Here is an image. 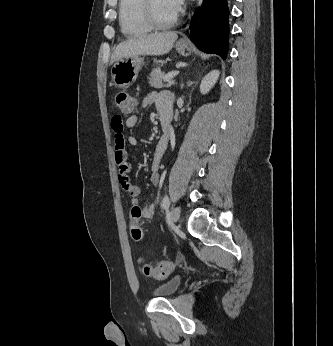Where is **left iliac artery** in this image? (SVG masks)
I'll list each match as a JSON object with an SVG mask.
<instances>
[{
  "label": "left iliac artery",
  "instance_id": "44dca946",
  "mask_svg": "<svg viewBox=\"0 0 333 346\" xmlns=\"http://www.w3.org/2000/svg\"><path fill=\"white\" fill-rule=\"evenodd\" d=\"M169 205H170V200H169V197L167 195L164 196L163 200H162V209L166 210L169 208Z\"/></svg>",
  "mask_w": 333,
  "mask_h": 346
}]
</instances>
